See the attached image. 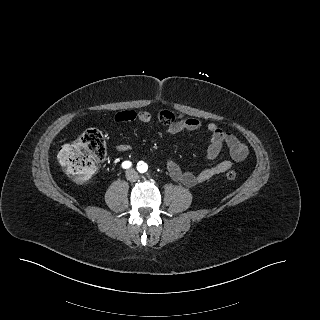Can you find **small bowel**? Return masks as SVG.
<instances>
[{
  "label": "small bowel",
  "mask_w": 320,
  "mask_h": 320,
  "mask_svg": "<svg viewBox=\"0 0 320 320\" xmlns=\"http://www.w3.org/2000/svg\"><path fill=\"white\" fill-rule=\"evenodd\" d=\"M151 118V114L147 111L136 112L134 110L119 111L114 117L117 123H127L135 120L141 123H149ZM158 119L165 126V133L167 134H177L184 130L196 131L202 128V123L198 119L185 117L171 110L160 111ZM207 130L210 135V144L206 150V159L208 161L215 160L224 146L228 148L231 159L223 160L214 166L194 173L183 170L173 158H169L166 161V169L173 180L187 187H193L229 171L235 162L243 161L246 158L248 148L234 134L223 130L214 123H209ZM116 149L119 152H126L130 149V146L127 144H118Z\"/></svg>",
  "instance_id": "c3829d8e"
}]
</instances>
